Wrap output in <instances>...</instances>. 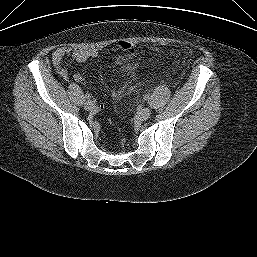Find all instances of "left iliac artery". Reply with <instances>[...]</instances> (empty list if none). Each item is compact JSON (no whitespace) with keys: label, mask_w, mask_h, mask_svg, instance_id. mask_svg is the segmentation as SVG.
<instances>
[{"label":"left iliac artery","mask_w":257,"mask_h":257,"mask_svg":"<svg viewBox=\"0 0 257 257\" xmlns=\"http://www.w3.org/2000/svg\"><path fill=\"white\" fill-rule=\"evenodd\" d=\"M148 99H149V95H145L144 100H148Z\"/></svg>","instance_id":"44dca946"}]
</instances>
